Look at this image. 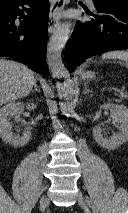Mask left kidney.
<instances>
[{"instance_id":"1","label":"left kidney","mask_w":128,"mask_h":213,"mask_svg":"<svg viewBox=\"0 0 128 213\" xmlns=\"http://www.w3.org/2000/svg\"><path fill=\"white\" fill-rule=\"evenodd\" d=\"M101 108L110 111V117L113 124L119 126V132L111 138L104 137L100 127L93 128L95 141L107 150H114L128 141V108L124 105L104 103Z\"/></svg>"}]
</instances>
